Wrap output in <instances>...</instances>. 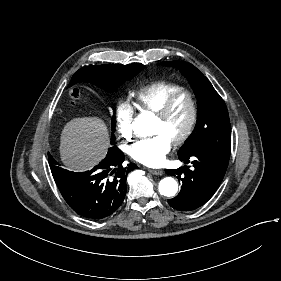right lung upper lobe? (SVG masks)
<instances>
[{
	"mask_svg": "<svg viewBox=\"0 0 281 281\" xmlns=\"http://www.w3.org/2000/svg\"><path fill=\"white\" fill-rule=\"evenodd\" d=\"M76 82H78V80L75 79V77H72L70 84L68 85V87L72 86L73 84H75Z\"/></svg>",
	"mask_w": 281,
	"mask_h": 281,
	"instance_id": "cb5924a9",
	"label": "right lung upper lobe"
}]
</instances>
